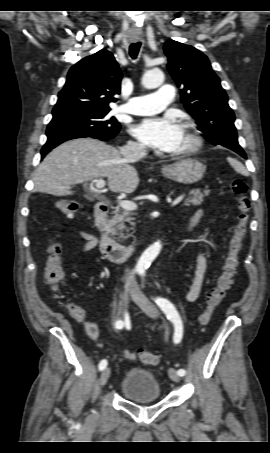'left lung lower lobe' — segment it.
<instances>
[{"instance_id": "obj_1", "label": "left lung lower lobe", "mask_w": 270, "mask_h": 453, "mask_svg": "<svg viewBox=\"0 0 270 453\" xmlns=\"http://www.w3.org/2000/svg\"><path fill=\"white\" fill-rule=\"evenodd\" d=\"M229 149L233 150L234 152L238 153L239 155H241L243 158L246 159V154H245V152L243 151V149L240 146L232 147V148H229Z\"/></svg>"}]
</instances>
